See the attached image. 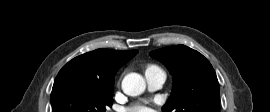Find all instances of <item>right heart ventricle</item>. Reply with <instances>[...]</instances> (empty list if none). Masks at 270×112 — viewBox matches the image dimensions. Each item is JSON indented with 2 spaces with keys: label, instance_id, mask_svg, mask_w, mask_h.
<instances>
[{
  "label": "right heart ventricle",
  "instance_id": "right-heart-ventricle-1",
  "mask_svg": "<svg viewBox=\"0 0 270 112\" xmlns=\"http://www.w3.org/2000/svg\"><path fill=\"white\" fill-rule=\"evenodd\" d=\"M155 68H158V67H156V66H154V65H151V66H148L146 70H149V69H155Z\"/></svg>",
  "mask_w": 270,
  "mask_h": 112
}]
</instances>
